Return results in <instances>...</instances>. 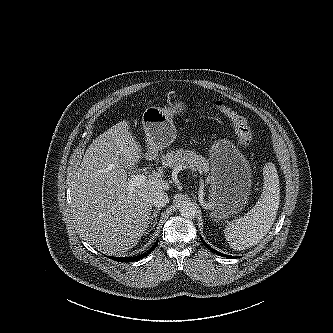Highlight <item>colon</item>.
Wrapping results in <instances>:
<instances>
[{"mask_svg":"<svg viewBox=\"0 0 333 333\" xmlns=\"http://www.w3.org/2000/svg\"><path fill=\"white\" fill-rule=\"evenodd\" d=\"M215 105L231 121L241 147H249L253 139V134L246 119L223 101H218Z\"/></svg>","mask_w":333,"mask_h":333,"instance_id":"5ec220e1","label":"colon"}]
</instances>
